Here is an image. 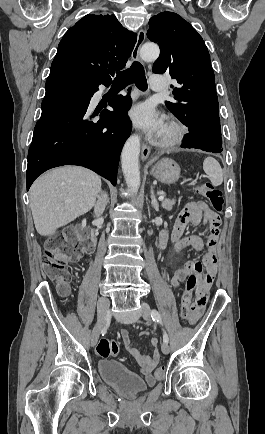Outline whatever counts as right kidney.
<instances>
[{
    "label": "right kidney",
    "instance_id": "ca27d5eb",
    "mask_svg": "<svg viewBox=\"0 0 265 434\" xmlns=\"http://www.w3.org/2000/svg\"><path fill=\"white\" fill-rule=\"evenodd\" d=\"M81 226H82V228H85V226H86V220H82Z\"/></svg>",
    "mask_w": 265,
    "mask_h": 434
}]
</instances>
